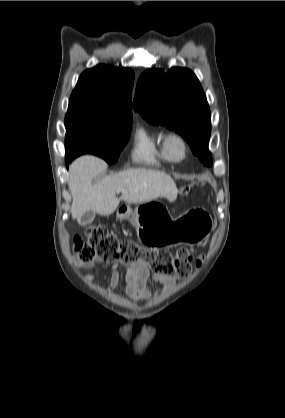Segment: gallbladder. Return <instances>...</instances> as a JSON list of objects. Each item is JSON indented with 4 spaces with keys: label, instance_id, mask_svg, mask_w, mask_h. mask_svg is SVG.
I'll return each instance as SVG.
<instances>
[{
    "label": "gallbladder",
    "instance_id": "bac80fb5",
    "mask_svg": "<svg viewBox=\"0 0 285 418\" xmlns=\"http://www.w3.org/2000/svg\"><path fill=\"white\" fill-rule=\"evenodd\" d=\"M94 218H95V212H94V211H92V210H89V211H86V212H85V213L81 216L79 223H80L82 226H85V225H87V224L91 223V222L94 220Z\"/></svg>",
    "mask_w": 285,
    "mask_h": 418
}]
</instances>
